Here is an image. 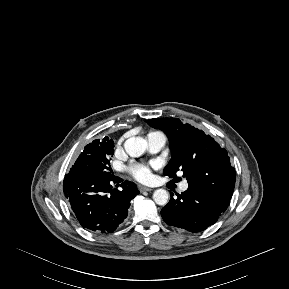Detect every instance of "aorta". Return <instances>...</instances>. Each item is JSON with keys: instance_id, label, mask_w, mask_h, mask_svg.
<instances>
[{"instance_id": "aorta-1", "label": "aorta", "mask_w": 289, "mask_h": 289, "mask_svg": "<svg viewBox=\"0 0 289 289\" xmlns=\"http://www.w3.org/2000/svg\"><path fill=\"white\" fill-rule=\"evenodd\" d=\"M127 154L131 157H139L146 150V143L138 137H131L124 143ZM169 194L165 189H157L153 193V200L157 205L164 206L168 203Z\"/></svg>"}]
</instances>
